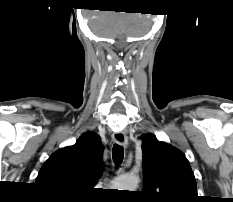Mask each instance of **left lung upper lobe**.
<instances>
[{
  "instance_id": "obj_1",
  "label": "left lung upper lobe",
  "mask_w": 233,
  "mask_h": 202,
  "mask_svg": "<svg viewBox=\"0 0 233 202\" xmlns=\"http://www.w3.org/2000/svg\"><path fill=\"white\" fill-rule=\"evenodd\" d=\"M143 191L147 202H197L194 174L184 154L149 134L143 137Z\"/></svg>"
}]
</instances>
